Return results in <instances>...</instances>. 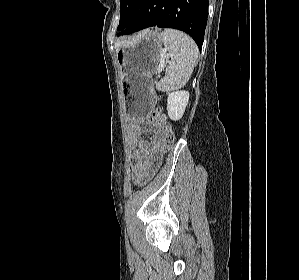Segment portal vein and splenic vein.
I'll list each match as a JSON object with an SVG mask.
<instances>
[{
	"instance_id": "portal-vein-and-splenic-vein-1",
	"label": "portal vein and splenic vein",
	"mask_w": 299,
	"mask_h": 280,
	"mask_svg": "<svg viewBox=\"0 0 299 280\" xmlns=\"http://www.w3.org/2000/svg\"><path fill=\"white\" fill-rule=\"evenodd\" d=\"M159 69H160L161 71L164 69V63H161V64L159 65Z\"/></svg>"
}]
</instances>
